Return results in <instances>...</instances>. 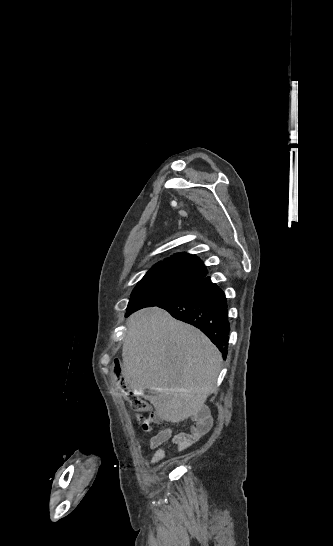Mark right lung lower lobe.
<instances>
[{
	"instance_id": "98d812e1",
	"label": "right lung lower lobe",
	"mask_w": 333,
	"mask_h": 546,
	"mask_svg": "<svg viewBox=\"0 0 333 546\" xmlns=\"http://www.w3.org/2000/svg\"><path fill=\"white\" fill-rule=\"evenodd\" d=\"M156 306L167 310L176 319L199 328L226 359L230 331L226 297L209 277L194 291ZM132 312L128 310L126 316Z\"/></svg>"
}]
</instances>
